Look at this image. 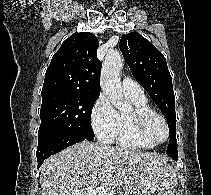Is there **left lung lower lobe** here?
Returning a JSON list of instances; mask_svg holds the SVG:
<instances>
[{
  "instance_id": "1",
  "label": "left lung lower lobe",
  "mask_w": 211,
  "mask_h": 195,
  "mask_svg": "<svg viewBox=\"0 0 211 195\" xmlns=\"http://www.w3.org/2000/svg\"><path fill=\"white\" fill-rule=\"evenodd\" d=\"M173 159H175V160H177V158H178V155H176V156H174V157H172Z\"/></svg>"
}]
</instances>
